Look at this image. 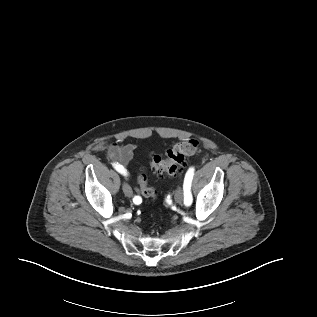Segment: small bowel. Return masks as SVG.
I'll list each match as a JSON object with an SVG mask.
<instances>
[{"label": "small bowel", "mask_w": 317, "mask_h": 317, "mask_svg": "<svg viewBox=\"0 0 317 317\" xmlns=\"http://www.w3.org/2000/svg\"><path fill=\"white\" fill-rule=\"evenodd\" d=\"M133 152H134V145L133 144H124V145L112 144V145L108 146L106 149V155H107L108 159H110V160L114 161V163L122 166V168L125 171H127L126 167L128 166V164L130 163V161L133 158ZM129 195L132 196L133 192H132V194H129ZM136 196H138V195H136Z\"/></svg>", "instance_id": "c3829d8e"}]
</instances>
